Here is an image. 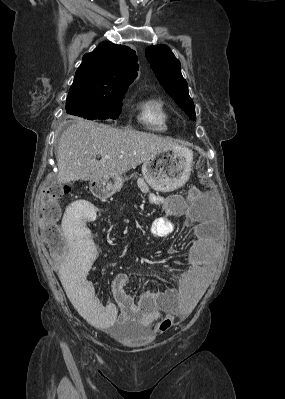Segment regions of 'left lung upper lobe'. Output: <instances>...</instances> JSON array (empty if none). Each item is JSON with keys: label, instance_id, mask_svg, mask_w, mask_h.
<instances>
[{"label": "left lung upper lobe", "instance_id": "left-lung-upper-lobe-1", "mask_svg": "<svg viewBox=\"0 0 285 399\" xmlns=\"http://www.w3.org/2000/svg\"><path fill=\"white\" fill-rule=\"evenodd\" d=\"M145 55L160 84L186 114L196 119L195 108L189 96L188 85L180 71V62L166 45L149 46Z\"/></svg>", "mask_w": 285, "mask_h": 399}]
</instances>
